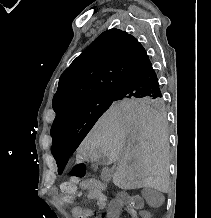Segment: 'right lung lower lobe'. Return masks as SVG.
Wrapping results in <instances>:
<instances>
[{"label": "right lung lower lobe", "mask_w": 211, "mask_h": 218, "mask_svg": "<svg viewBox=\"0 0 211 218\" xmlns=\"http://www.w3.org/2000/svg\"><path fill=\"white\" fill-rule=\"evenodd\" d=\"M116 95L125 97H162L158 78L149 58L122 82Z\"/></svg>", "instance_id": "right-lung-lower-lobe-1"}]
</instances>
